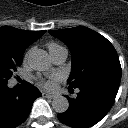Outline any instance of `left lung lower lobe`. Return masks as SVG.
<instances>
[{"mask_svg":"<svg viewBox=\"0 0 128 128\" xmlns=\"http://www.w3.org/2000/svg\"><path fill=\"white\" fill-rule=\"evenodd\" d=\"M120 85L114 78H97L79 87L77 98L69 101L66 112L58 119L73 128H89L98 123L111 109ZM69 90L73 89L68 87Z\"/></svg>","mask_w":128,"mask_h":128,"instance_id":"0a47b994","label":"left lung lower lobe"}]
</instances>
